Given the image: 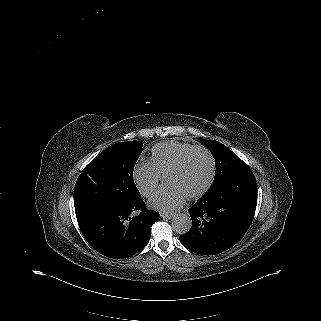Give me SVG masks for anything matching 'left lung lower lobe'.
<instances>
[{
  "label": "left lung lower lobe",
  "instance_id": "obj_1",
  "mask_svg": "<svg viewBox=\"0 0 321 321\" xmlns=\"http://www.w3.org/2000/svg\"><path fill=\"white\" fill-rule=\"evenodd\" d=\"M257 205L252 171L235 174L208 190L188 212L191 229L180 242L201 255L219 254L234 246L251 225Z\"/></svg>",
  "mask_w": 321,
  "mask_h": 321
}]
</instances>
